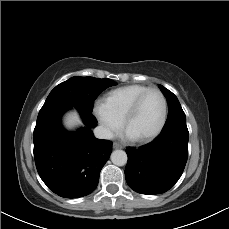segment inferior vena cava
<instances>
[{
    "label": "inferior vena cava",
    "instance_id": "inferior-vena-cava-1",
    "mask_svg": "<svg viewBox=\"0 0 229 229\" xmlns=\"http://www.w3.org/2000/svg\"><path fill=\"white\" fill-rule=\"evenodd\" d=\"M94 135L98 139H108V140H110V139L113 138V133L109 129H107V128L103 127V126L96 127L94 129Z\"/></svg>",
    "mask_w": 229,
    "mask_h": 229
}]
</instances>
